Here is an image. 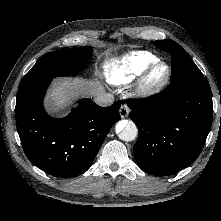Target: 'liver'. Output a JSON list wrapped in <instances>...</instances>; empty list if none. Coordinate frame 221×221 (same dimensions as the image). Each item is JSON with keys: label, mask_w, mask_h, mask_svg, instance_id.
Here are the masks:
<instances>
[{"label": "liver", "mask_w": 221, "mask_h": 221, "mask_svg": "<svg viewBox=\"0 0 221 221\" xmlns=\"http://www.w3.org/2000/svg\"><path fill=\"white\" fill-rule=\"evenodd\" d=\"M75 81L79 80H61L57 82L54 87L49 92V97L51 102L48 104L49 110L52 112H57L60 109L65 108L71 101V96L76 94L75 93ZM85 82L88 87L85 91V94L88 96H98L103 93V87L100 85L99 82L89 81Z\"/></svg>", "instance_id": "6515ba94"}]
</instances>
